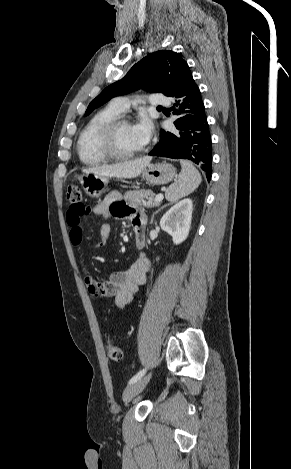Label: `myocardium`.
I'll return each mask as SVG.
<instances>
[{
    "instance_id": "1",
    "label": "myocardium",
    "mask_w": 291,
    "mask_h": 469,
    "mask_svg": "<svg viewBox=\"0 0 291 469\" xmlns=\"http://www.w3.org/2000/svg\"><path fill=\"white\" fill-rule=\"evenodd\" d=\"M123 124H131V123L127 117L119 115L118 117L109 121L103 127L101 131V134H100L101 149L109 159H114V160L130 159L137 155H140L146 149L145 147H142L141 149H138L132 152H121L117 149L116 142H115L116 132L118 128Z\"/></svg>"
}]
</instances>
